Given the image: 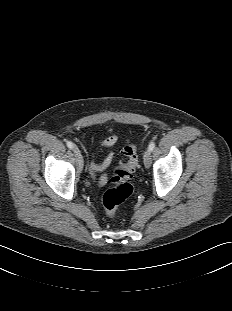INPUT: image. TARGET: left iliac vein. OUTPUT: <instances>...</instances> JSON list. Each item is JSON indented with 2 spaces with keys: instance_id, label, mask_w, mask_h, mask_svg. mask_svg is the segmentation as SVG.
Segmentation results:
<instances>
[{
  "instance_id": "1",
  "label": "left iliac vein",
  "mask_w": 232,
  "mask_h": 311,
  "mask_svg": "<svg viewBox=\"0 0 232 311\" xmlns=\"http://www.w3.org/2000/svg\"><path fill=\"white\" fill-rule=\"evenodd\" d=\"M144 165L146 168L151 166V151L147 149L143 155Z\"/></svg>"
}]
</instances>
